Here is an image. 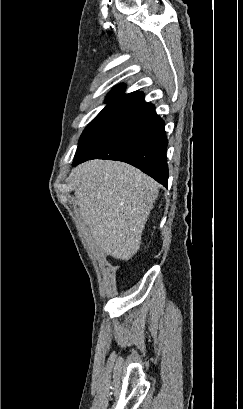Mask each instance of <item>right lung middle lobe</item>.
Segmentation results:
<instances>
[{"mask_svg":"<svg viewBox=\"0 0 243 409\" xmlns=\"http://www.w3.org/2000/svg\"><path fill=\"white\" fill-rule=\"evenodd\" d=\"M121 103L122 102L119 101H109L107 106L85 128L79 139V145L97 128H99L119 108Z\"/></svg>","mask_w":243,"mask_h":409,"instance_id":"right-lung-middle-lobe-1","label":"right lung middle lobe"}]
</instances>
